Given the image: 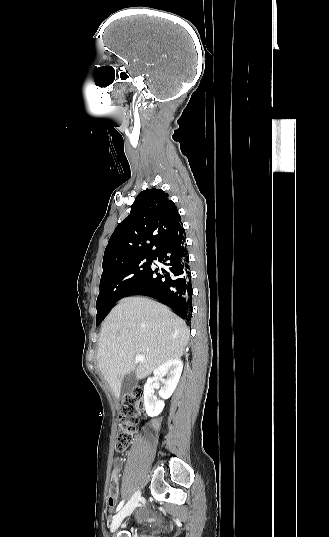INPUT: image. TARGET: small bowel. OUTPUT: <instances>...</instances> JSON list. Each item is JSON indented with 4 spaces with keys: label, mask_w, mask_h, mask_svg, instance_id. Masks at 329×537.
<instances>
[{
    "label": "small bowel",
    "mask_w": 329,
    "mask_h": 537,
    "mask_svg": "<svg viewBox=\"0 0 329 537\" xmlns=\"http://www.w3.org/2000/svg\"><path fill=\"white\" fill-rule=\"evenodd\" d=\"M119 468H120V464H119L118 461H116L115 467H114V470H113V473H112V481L115 484L117 483V480H118ZM117 501H118L117 488L115 487L113 489L112 494L109 495V497L107 499V504H108V507H109L110 511H112L114 509L115 505L117 504Z\"/></svg>",
    "instance_id": "obj_1"
}]
</instances>
